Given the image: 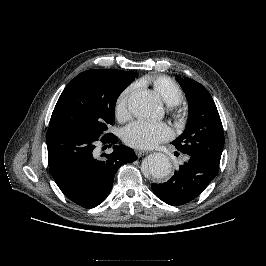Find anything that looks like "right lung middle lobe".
I'll return each instance as SVG.
<instances>
[{
	"mask_svg": "<svg viewBox=\"0 0 266 266\" xmlns=\"http://www.w3.org/2000/svg\"><path fill=\"white\" fill-rule=\"evenodd\" d=\"M137 75L112 69L80 73L59 97L49 128L74 130L96 138L110 134L107 129L115 122L116 100Z\"/></svg>",
	"mask_w": 266,
	"mask_h": 266,
	"instance_id": "right-lung-middle-lobe-1",
	"label": "right lung middle lobe"
}]
</instances>
